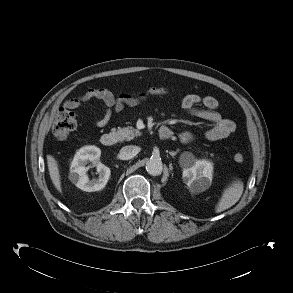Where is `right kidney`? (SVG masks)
<instances>
[{
	"label": "right kidney",
	"mask_w": 293,
	"mask_h": 293,
	"mask_svg": "<svg viewBox=\"0 0 293 293\" xmlns=\"http://www.w3.org/2000/svg\"><path fill=\"white\" fill-rule=\"evenodd\" d=\"M101 150L96 146H86L77 151L71 163L69 179L79 189L94 192L103 189L111 175L110 168L99 161ZM92 162L99 173L97 179L89 180L87 163Z\"/></svg>",
	"instance_id": "obj_1"
}]
</instances>
